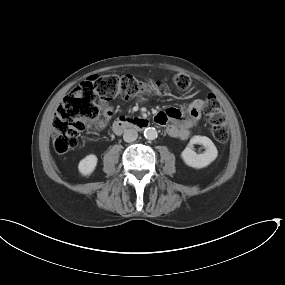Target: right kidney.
Returning <instances> with one entry per match:
<instances>
[{
    "mask_svg": "<svg viewBox=\"0 0 285 285\" xmlns=\"http://www.w3.org/2000/svg\"><path fill=\"white\" fill-rule=\"evenodd\" d=\"M97 161L98 159L94 154L86 156L79 162V172L84 176L90 175L95 170Z\"/></svg>",
    "mask_w": 285,
    "mask_h": 285,
    "instance_id": "1",
    "label": "right kidney"
}]
</instances>
